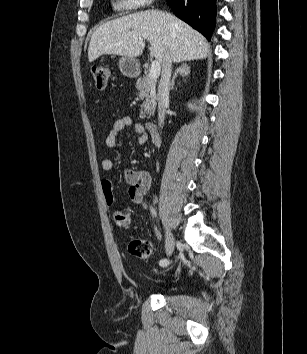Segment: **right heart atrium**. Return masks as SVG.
Segmentation results:
<instances>
[{
  "instance_id": "obj_1",
  "label": "right heart atrium",
  "mask_w": 307,
  "mask_h": 354,
  "mask_svg": "<svg viewBox=\"0 0 307 354\" xmlns=\"http://www.w3.org/2000/svg\"><path fill=\"white\" fill-rule=\"evenodd\" d=\"M154 0H117V5L126 10L149 6Z\"/></svg>"
}]
</instances>
